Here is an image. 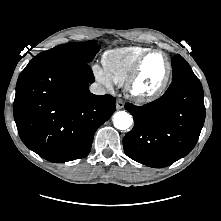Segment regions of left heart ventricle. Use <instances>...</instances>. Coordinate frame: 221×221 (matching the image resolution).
<instances>
[{"instance_id": "1", "label": "left heart ventricle", "mask_w": 221, "mask_h": 221, "mask_svg": "<svg viewBox=\"0 0 221 221\" xmlns=\"http://www.w3.org/2000/svg\"><path fill=\"white\" fill-rule=\"evenodd\" d=\"M167 71V63L162 54L150 55L144 62L142 72L137 84L140 91L150 92L162 82Z\"/></svg>"}]
</instances>
